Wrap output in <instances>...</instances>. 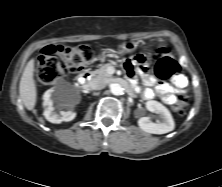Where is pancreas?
Returning a JSON list of instances; mask_svg holds the SVG:
<instances>
[{
	"instance_id": "pancreas-1",
	"label": "pancreas",
	"mask_w": 222,
	"mask_h": 187,
	"mask_svg": "<svg viewBox=\"0 0 222 187\" xmlns=\"http://www.w3.org/2000/svg\"><path fill=\"white\" fill-rule=\"evenodd\" d=\"M110 66H112V64H110V63L101 65V67L99 69L95 70L93 73L101 78H110L111 75L107 72V69Z\"/></svg>"
}]
</instances>
